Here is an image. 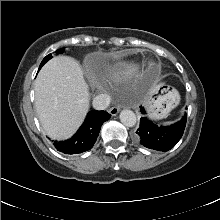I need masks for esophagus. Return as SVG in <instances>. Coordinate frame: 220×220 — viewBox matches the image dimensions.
<instances>
[{"label":"esophagus","mask_w":220,"mask_h":220,"mask_svg":"<svg viewBox=\"0 0 220 220\" xmlns=\"http://www.w3.org/2000/svg\"><path fill=\"white\" fill-rule=\"evenodd\" d=\"M120 108L117 107V106H113L109 109V113L112 115V116H115L118 114Z\"/></svg>","instance_id":"obj_1"}]
</instances>
